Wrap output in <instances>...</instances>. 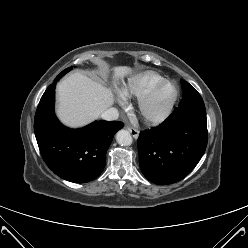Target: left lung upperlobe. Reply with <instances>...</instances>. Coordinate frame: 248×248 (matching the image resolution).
Wrapping results in <instances>:
<instances>
[{
	"instance_id": "obj_1",
	"label": "left lung upper lobe",
	"mask_w": 248,
	"mask_h": 248,
	"mask_svg": "<svg viewBox=\"0 0 248 248\" xmlns=\"http://www.w3.org/2000/svg\"><path fill=\"white\" fill-rule=\"evenodd\" d=\"M183 96L182 102L177 108L178 111H184L192 106L203 104V99L200 94L186 81L181 80Z\"/></svg>"
}]
</instances>
